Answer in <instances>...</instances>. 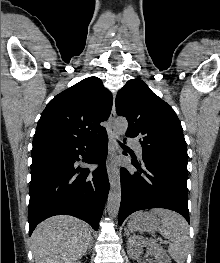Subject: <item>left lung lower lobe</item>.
<instances>
[{
  "mask_svg": "<svg viewBox=\"0 0 220 263\" xmlns=\"http://www.w3.org/2000/svg\"><path fill=\"white\" fill-rule=\"evenodd\" d=\"M124 154H126L124 152ZM136 172L121 169L122 198L119 225L133 212L165 208L180 213L189 223L188 172L163 161H132Z\"/></svg>",
  "mask_w": 220,
  "mask_h": 263,
  "instance_id": "1",
  "label": "left lung lower lobe"
}]
</instances>
